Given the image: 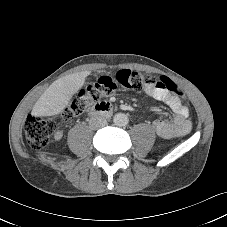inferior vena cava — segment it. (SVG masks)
Segmentation results:
<instances>
[{"label":"inferior vena cava","instance_id":"obj_1","mask_svg":"<svg viewBox=\"0 0 227 227\" xmlns=\"http://www.w3.org/2000/svg\"><path fill=\"white\" fill-rule=\"evenodd\" d=\"M89 125L92 129H100L107 125V120L102 116H95L90 119Z\"/></svg>","mask_w":227,"mask_h":227}]
</instances>
